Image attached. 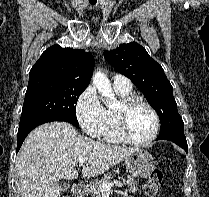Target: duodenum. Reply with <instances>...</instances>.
Wrapping results in <instances>:
<instances>
[{
    "label": "duodenum",
    "mask_w": 209,
    "mask_h": 197,
    "mask_svg": "<svg viewBox=\"0 0 209 197\" xmlns=\"http://www.w3.org/2000/svg\"><path fill=\"white\" fill-rule=\"evenodd\" d=\"M86 193V188L81 184H76L72 188V195L74 197H83Z\"/></svg>",
    "instance_id": "410a0bca"
}]
</instances>
